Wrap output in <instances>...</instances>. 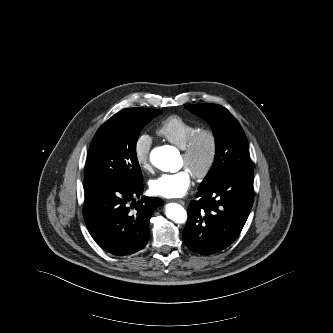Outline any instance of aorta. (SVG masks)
Listing matches in <instances>:
<instances>
[{
	"label": "aorta",
	"mask_w": 333,
	"mask_h": 333,
	"mask_svg": "<svg viewBox=\"0 0 333 333\" xmlns=\"http://www.w3.org/2000/svg\"><path fill=\"white\" fill-rule=\"evenodd\" d=\"M178 152L171 146H160L154 148L150 154L151 163L164 172H174L176 170V162ZM167 218L175 223H185L187 220L186 210L177 203H169L165 207Z\"/></svg>",
	"instance_id": "1"
}]
</instances>
